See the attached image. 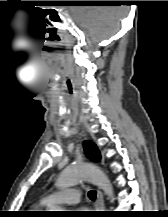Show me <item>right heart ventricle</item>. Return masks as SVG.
I'll return each mask as SVG.
<instances>
[{"label": "right heart ventricle", "mask_w": 168, "mask_h": 217, "mask_svg": "<svg viewBox=\"0 0 168 217\" xmlns=\"http://www.w3.org/2000/svg\"><path fill=\"white\" fill-rule=\"evenodd\" d=\"M45 204L43 202H40L34 206L31 207L32 212H35L37 210H39L40 208H42Z\"/></svg>", "instance_id": "1"}]
</instances>
